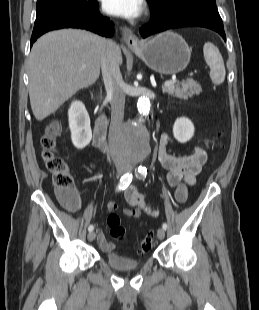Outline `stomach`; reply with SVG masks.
<instances>
[{"label":"stomach","mask_w":259,"mask_h":310,"mask_svg":"<svg viewBox=\"0 0 259 310\" xmlns=\"http://www.w3.org/2000/svg\"><path fill=\"white\" fill-rule=\"evenodd\" d=\"M152 70L161 74H177L189 64L191 50L176 33L164 32L131 48Z\"/></svg>","instance_id":"0dacf381"}]
</instances>
